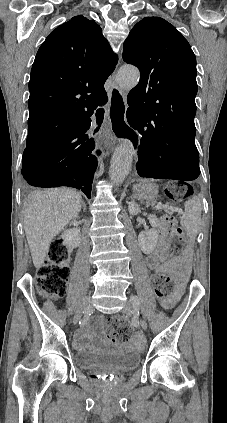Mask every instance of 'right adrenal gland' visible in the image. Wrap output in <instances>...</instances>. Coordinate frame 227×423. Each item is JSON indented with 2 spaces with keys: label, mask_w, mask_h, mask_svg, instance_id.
I'll return each mask as SVG.
<instances>
[{
  "label": "right adrenal gland",
  "mask_w": 227,
  "mask_h": 423,
  "mask_svg": "<svg viewBox=\"0 0 227 423\" xmlns=\"http://www.w3.org/2000/svg\"><path fill=\"white\" fill-rule=\"evenodd\" d=\"M82 206H83V210L86 211V204H84V202H82Z\"/></svg>",
  "instance_id": "obj_1"
}]
</instances>
